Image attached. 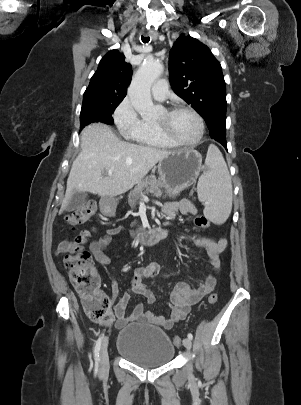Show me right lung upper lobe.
Returning a JSON list of instances; mask_svg holds the SVG:
<instances>
[{
  "mask_svg": "<svg viewBox=\"0 0 301 405\" xmlns=\"http://www.w3.org/2000/svg\"><path fill=\"white\" fill-rule=\"evenodd\" d=\"M118 50L109 51L100 61L83 99L92 97L123 100L132 75L131 64Z\"/></svg>",
  "mask_w": 301,
  "mask_h": 405,
  "instance_id": "1",
  "label": "right lung upper lobe"
}]
</instances>
